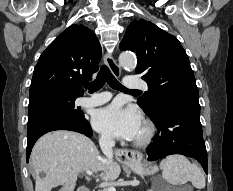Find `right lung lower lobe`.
<instances>
[{
	"mask_svg": "<svg viewBox=\"0 0 233 191\" xmlns=\"http://www.w3.org/2000/svg\"><path fill=\"white\" fill-rule=\"evenodd\" d=\"M54 130H71L92 136V130L85 117L74 116L55 109L41 108L28 116L26 159L33 145L43 134Z\"/></svg>",
	"mask_w": 233,
	"mask_h": 191,
	"instance_id": "right-lung-lower-lobe-1",
	"label": "right lung lower lobe"
}]
</instances>
